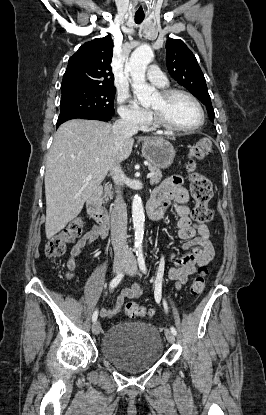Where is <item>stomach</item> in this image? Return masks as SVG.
Listing matches in <instances>:
<instances>
[{
	"label": "stomach",
	"mask_w": 266,
	"mask_h": 415,
	"mask_svg": "<svg viewBox=\"0 0 266 415\" xmlns=\"http://www.w3.org/2000/svg\"><path fill=\"white\" fill-rule=\"evenodd\" d=\"M175 150L172 144L164 139L146 140L142 147V155L158 169L168 168L174 160Z\"/></svg>",
	"instance_id": "0dacf381"
}]
</instances>
